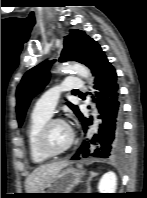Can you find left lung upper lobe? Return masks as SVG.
<instances>
[{"instance_id":"obj_1","label":"left lung upper lobe","mask_w":147,"mask_h":198,"mask_svg":"<svg viewBox=\"0 0 147 198\" xmlns=\"http://www.w3.org/2000/svg\"><path fill=\"white\" fill-rule=\"evenodd\" d=\"M93 42L94 40L87 36L84 31L71 29L64 39L59 61H77L86 65ZM52 63L51 61L42 62L23 76L16 92V112L19 126L23 124L31 99L48 83L50 77L49 68ZM67 105L78 116L80 113L78 107L70 102H67Z\"/></svg>"}]
</instances>
